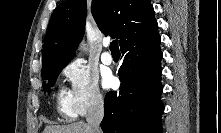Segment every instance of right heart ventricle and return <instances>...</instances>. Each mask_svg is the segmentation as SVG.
I'll return each instance as SVG.
<instances>
[{
	"label": "right heart ventricle",
	"mask_w": 221,
	"mask_h": 133,
	"mask_svg": "<svg viewBox=\"0 0 221 133\" xmlns=\"http://www.w3.org/2000/svg\"><path fill=\"white\" fill-rule=\"evenodd\" d=\"M57 112L65 118H74L76 113L71 104L69 93L63 89L59 90L56 99Z\"/></svg>",
	"instance_id": "1"
}]
</instances>
